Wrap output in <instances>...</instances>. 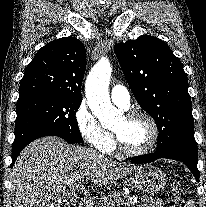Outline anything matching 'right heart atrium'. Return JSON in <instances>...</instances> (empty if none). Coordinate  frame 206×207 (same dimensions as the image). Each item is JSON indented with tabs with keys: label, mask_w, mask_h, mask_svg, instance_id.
I'll use <instances>...</instances> for the list:
<instances>
[{
	"label": "right heart atrium",
	"mask_w": 206,
	"mask_h": 207,
	"mask_svg": "<svg viewBox=\"0 0 206 207\" xmlns=\"http://www.w3.org/2000/svg\"><path fill=\"white\" fill-rule=\"evenodd\" d=\"M74 118L79 133L90 146L102 152L113 150V135L103 128L85 100L78 105Z\"/></svg>",
	"instance_id": "1"
}]
</instances>
